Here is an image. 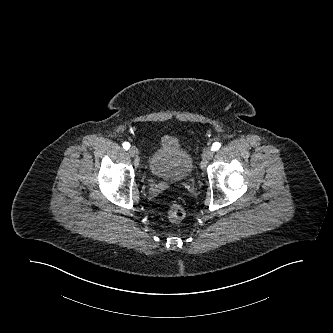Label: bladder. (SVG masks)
<instances>
[{
    "instance_id": "obj_1",
    "label": "bladder",
    "mask_w": 333,
    "mask_h": 333,
    "mask_svg": "<svg viewBox=\"0 0 333 333\" xmlns=\"http://www.w3.org/2000/svg\"><path fill=\"white\" fill-rule=\"evenodd\" d=\"M147 169L156 179L178 182L190 176L193 159L176 137L162 135L150 153Z\"/></svg>"
}]
</instances>
